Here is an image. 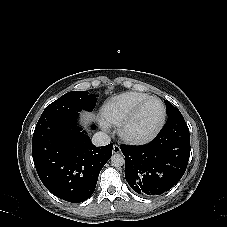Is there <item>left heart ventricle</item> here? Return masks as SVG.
I'll use <instances>...</instances> for the list:
<instances>
[{
  "mask_svg": "<svg viewBox=\"0 0 227 227\" xmlns=\"http://www.w3.org/2000/svg\"><path fill=\"white\" fill-rule=\"evenodd\" d=\"M162 107L159 102H149L133 125L132 132L144 134L150 131L161 119Z\"/></svg>",
  "mask_w": 227,
  "mask_h": 227,
  "instance_id": "obj_1",
  "label": "left heart ventricle"
}]
</instances>
